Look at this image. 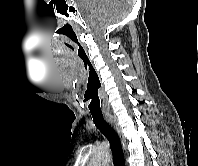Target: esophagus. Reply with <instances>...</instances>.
I'll use <instances>...</instances> for the list:
<instances>
[{
	"label": "esophagus",
	"mask_w": 198,
	"mask_h": 166,
	"mask_svg": "<svg viewBox=\"0 0 198 166\" xmlns=\"http://www.w3.org/2000/svg\"><path fill=\"white\" fill-rule=\"evenodd\" d=\"M105 116H106V119L109 122V124L115 129V131L119 135L122 147L125 148L126 147V139L123 135V132H122V129H121L120 125L117 122V119L111 114H106Z\"/></svg>",
	"instance_id": "esophagus-1"
}]
</instances>
